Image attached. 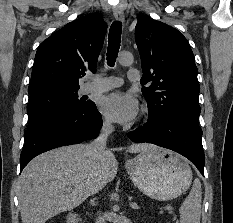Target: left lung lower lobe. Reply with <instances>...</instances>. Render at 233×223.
Here are the masks:
<instances>
[{
	"mask_svg": "<svg viewBox=\"0 0 233 223\" xmlns=\"http://www.w3.org/2000/svg\"><path fill=\"white\" fill-rule=\"evenodd\" d=\"M128 137L136 143L149 142L178 152L188 158L204 176L202 130L197 120L178 118L148 121L144 126L129 132Z\"/></svg>",
	"mask_w": 233,
	"mask_h": 223,
	"instance_id": "0a47b994",
	"label": "left lung lower lobe"
}]
</instances>
